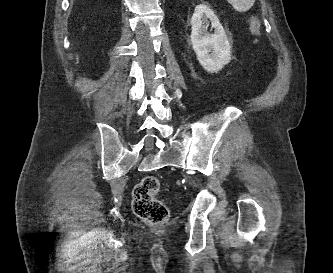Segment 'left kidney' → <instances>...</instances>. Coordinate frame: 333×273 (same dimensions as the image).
I'll use <instances>...</instances> for the list:
<instances>
[{"label":"left kidney","instance_id":"left-kidney-1","mask_svg":"<svg viewBox=\"0 0 333 273\" xmlns=\"http://www.w3.org/2000/svg\"><path fill=\"white\" fill-rule=\"evenodd\" d=\"M211 22L214 33L207 32ZM191 43L202 67L217 73L231 60V45L215 13L206 5L195 7L191 18Z\"/></svg>","mask_w":333,"mask_h":273}]
</instances>
